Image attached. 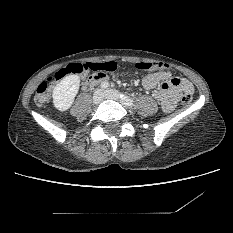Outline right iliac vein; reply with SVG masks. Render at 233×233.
Segmentation results:
<instances>
[{
    "label": "right iliac vein",
    "mask_w": 233,
    "mask_h": 233,
    "mask_svg": "<svg viewBox=\"0 0 233 233\" xmlns=\"http://www.w3.org/2000/svg\"><path fill=\"white\" fill-rule=\"evenodd\" d=\"M103 99V91L101 89H98L94 92L92 101L94 104H99Z\"/></svg>",
    "instance_id": "1"
}]
</instances>
